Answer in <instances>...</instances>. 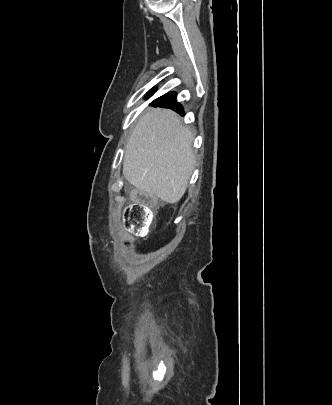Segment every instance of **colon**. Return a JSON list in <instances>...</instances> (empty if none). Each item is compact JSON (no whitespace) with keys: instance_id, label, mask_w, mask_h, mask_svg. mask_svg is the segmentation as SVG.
Listing matches in <instances>:
<instances>
[{"instance_id":"1","label":"colon","mask_w":332,"mask_h":405,"mask_svg":"<svg viewBox=\"0 0 332 405\" xmlns=\"http://www.w3.org/2000/svg\"><path fill=\"white\" fill-rule=\"evenodd\" d=\"M155 205L153 196L139 193L136 201L124 209L125 226L138 234L147 233L156 220L152 210Z\"/></svg>"}]
</instances>
